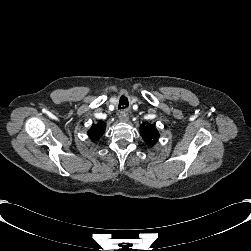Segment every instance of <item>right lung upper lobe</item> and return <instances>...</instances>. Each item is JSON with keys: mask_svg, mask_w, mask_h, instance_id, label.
Wrapping results in <instances>:
<instances>
[{"mask_svg": "<svg viewBox=\"0 0 251 251\" xmlns=\"http://www.w3.org/2000/svg\"><path fill=\"white\" fill-rule=\"evenodd\" d=\"M105 126L106 125L103 121H100L97 124L93 125L88 131L89 137L94 140L99 139L105 131Z\"/></svg>", "mask_w": 251, "mask_h": 251, "instance_id": "1", "label": "right lung upper lobe"}]
</instances>
